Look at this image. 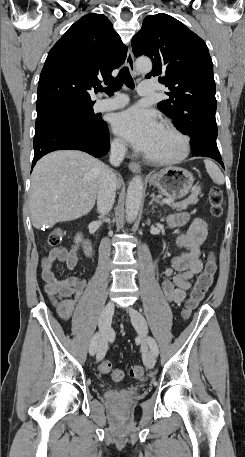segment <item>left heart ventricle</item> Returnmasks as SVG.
Returning a JSON list of instances; mask_svg holds the SVG:
<instances>
[{"label": "left heart ventricle", "instance_id": "1", "mask_svg": "<svg viewBox=\"0 0 245 457\" xmlns=\"http://www.w3.org/2000/svg\"><path fill=\"white\" fill-rule=\"evenodd\" d=\"M178 145L177 139L161 129L155 142L146 150L149 154H164L173 152Z\"/></svg>", "mask_w": 245, "mask_h": 457}]
</instances>
